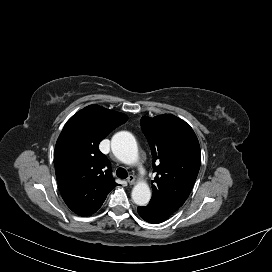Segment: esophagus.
I'll list each match as a JSON object with an SVG mask.
<instances>
[{
  "label": "esophagus",
  "mask_w": 272,
  "mask_h": 272,
  "mask_svg": "<svg viewBox=\"0 0 272 272\" xmlns=\"http://www.w3.org/2000/svg\"><path fill=\"white\" fill-rule=\"evenodd\" d=\"M127 182L130 185H133L135 183V177H134V175H129L128 178H127Z\"/></svg>",
  "instance_id": "1"
}]
</instances>
